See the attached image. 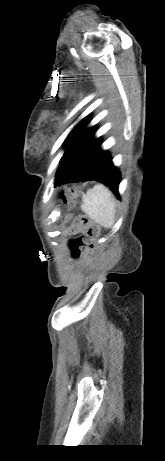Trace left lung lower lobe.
<instances>
[{
	"label": "left lung lower lobe",
	"mask_w": 165,
	"mask_h": 461,
	"mask_svg": "<svg viewBox=\"0 0 165 461\" xmlns=\"http://www.w3.org/2000/svg\"><path fill=\"white\" fill-rule=\"evenodd\" d=\"M95 127L88 131L61 160L56 174L55 186L68 182L96 180L108 186L119 196L120 172L111 157L95 139Z\"/></svg>",
	"instance_id": "0a47b994"
}]
</instances>
